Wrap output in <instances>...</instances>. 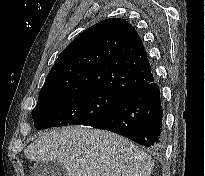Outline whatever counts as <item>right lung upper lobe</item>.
I'll list each match as a JSON object with an SVG mask.
<instances>
[{"label": "right lung upper lobe", "instance_id": "obj_1", "mask_svg": "<svg viewBox=\"0 0 205 176\" xmlns=\"http://www.w3.org/2000/svg\"><path fill=\"white\" fill-rule=\"evenodd\" d=\"M154 79L141 38L126 20H103L78 35L58 56L39 96L86 89L122 95Z\"/></svg>", "mask_w": 205, "mask_h": 176}]
</instances>
